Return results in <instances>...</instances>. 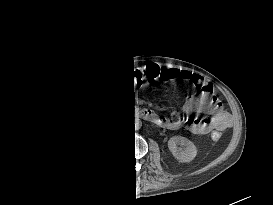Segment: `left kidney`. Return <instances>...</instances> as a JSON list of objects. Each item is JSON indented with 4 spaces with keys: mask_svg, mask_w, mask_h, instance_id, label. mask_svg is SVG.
<instances>
[{
    "mask_svg": "<svg viewBox=\"0 0 273 205\" xmlns=\"http://www.w3.org/2000/svg\"><path fill=\"white\" fill-rule=\"evenodd\" d=\"M168 148L174 158L181 163L191 162L197 155L194 143L182 136L171 137L168 141Z\"/></svg>",
    "mask_w": 273,
    "mask_h": 205,
    "instance_id": "left-kidney-1",
    "label": "left kidney"
}]
</instances>
